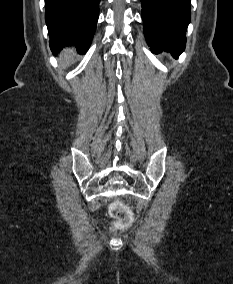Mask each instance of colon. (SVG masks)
Returning a JSON list of instances; mask_svg holds the SVG:
<instances>
[{
  "label": "colon",
  "mask_w": 233,
  "mask_h": 284,
  "mask_svg": "<svg viewBox=\"0 0 233 284\" xmlns=\"http://www.w3.org/2000/svg\"><path fill=\"white\" fill-rule=\"evenodd\" d=\"M110 213L113 217L118 219L121 225L128 224L132 218L129 209L120 202H116L111 205Z\"/></svg>",
  "instance_id": "colon-1"
}]
</instances>
